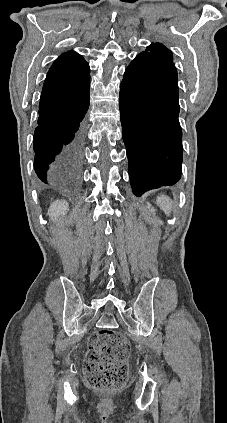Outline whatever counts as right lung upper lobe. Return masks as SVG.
Returning <instances> with one entry per match:
<instances>
[{
  "label": "right lung upper lobe",
  "mask_w": 227,
  "mask_h": 423,
  "mask_svg": "<svg viewBox=\"0 0 227 423\" xmlns=\"http://www.w3.org/2000/svg\"><path fill=\"white\" fill-rule=\"evenodd\" d=\"M90 69L88 63L76 52L59 56L50 68L41 96L66 100L89 93Z\"/></svg>",
  "instance_id": "obj_1"
}]
</instances>
